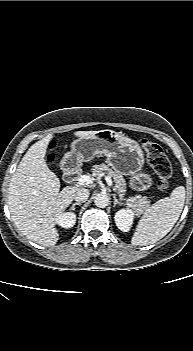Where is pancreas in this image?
I'll return each instance as SVG.
<instances>
[{
    "label": "pancreas",
    "instance_id": "cf45deb5",
    "mask_svg": "<svg viewBox=\"0 0 193 351\" xmlns=\"http://www.w3.org/2000/svg\"><path fill=\"white\" fill-rule=\"evenodd\" d=\"M107 175L114 180L117 194L120 196V199L123 200V197L126 192V182L122 174L110 169L106 164L102 163L100 165H94L92 168V176L99 177ZM127 202H130L131 205L136 209L138 213H143V211L149 206L150 201L146 197H141L136 195L134 197H129Z\"/></svg>",
    "mask_w": 193,
    "mask_h": 351
}]
</instances>
